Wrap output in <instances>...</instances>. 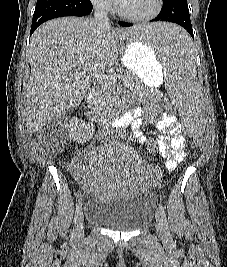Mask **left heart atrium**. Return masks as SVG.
<instances>
[{
  "instance_id": "left-heart-atrium-1",
  "label": "left heart atrium",
  "mask_w": 227,
  "mask_h": 267,
  "mask_svg": "<svg viewBox=\"0 0 227 267\" xmlns=\"http://www.w3.org/2000/svg\"><path fill=\"white\" fill-rule=\"evenodd\" d=\"M114 1L120 5V4H122V2H123L124 0H114Z\"/></svg>"
}]
</instances>
